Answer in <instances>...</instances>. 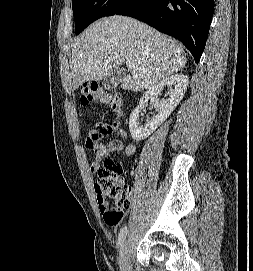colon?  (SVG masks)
Masks as SVG:
<instances>
[{"label":"colon","instance_id":"obj_1","mask_svg":"<svg viewBox=\"0 0 253 271\" xmlns=\"http://www.w3.org/2000/svg\"><path fill=\"white\" fill-rule=\"evenodd\" d=\"M80 100L82 104L92 101L107 103L116 113L122 109L119 92L107 90L94 83L82 87ZM121 173V164L114 159H106L97 171L95 190L102 205L105 222L110 226L121 222L124 209L132 196L131 188L125 186L120 179Z\"/></svg>","mask_w":253,"mask_h":271}]
</instances>
